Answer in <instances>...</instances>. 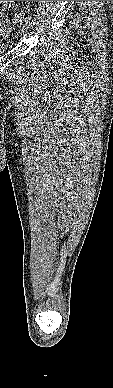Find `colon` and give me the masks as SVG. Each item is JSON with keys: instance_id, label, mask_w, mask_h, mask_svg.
Masks as SVG:
<instances>
[{"instance_id": "5ec220e1", "label": "colon", "mask_w": 113, "mask_h": 388, "mask_svg": "<svg viewBox=\"0 0 113 388\" xmlns=\"http://www.w3.org/2000/svg\"><path fill=\"white\" fill-rule=\"evenodd\" d=\"M0 4H1V1H0ZM2 4H3V2H2ZM22 19H23V15L18 14V15H15L11 20L13 23L19 24L22 21Z\"/></svg>"}]
</instances>
